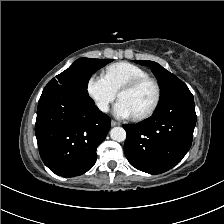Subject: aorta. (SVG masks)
Here are the masks:
<instances>
[{
  "label": "aorta",
  "instance_id": "762f6f07",
  "mask_svg": "<svg viewBox=\"0 0 224 224\" xmlns=\"http://www.w3.org/2000/svg\"><path fill=\"white\" fill-rule=\"evenodd\" d=\"M110 137L113 141L122 142L126 139V131L122 127H114L110 131Z\"/></svg>",
  "mask_w": 224,
  "mask_h": 224
}]
</instances>
